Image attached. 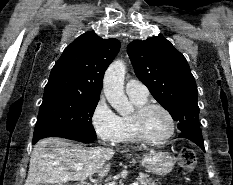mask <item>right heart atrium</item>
<instances>
[{"label": "right heart atrium", "mask_w": 233, "mask_h": 185, "mask_svg": "<svg viewBox=\"0 0 233 185\" xmlns=\"http://www.w3.org/2000/svg\"><path fill=\"white\" fill-rule=\"evenodd\" d=\"M91 125L96 136L104 143L115 144L121 139L123 126L121 117L100 96L91 112Z\"/></svg>", "instance_id": "1"}]
</instances>
